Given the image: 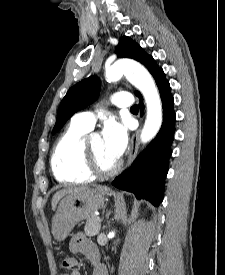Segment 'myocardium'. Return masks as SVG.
<instances>
[{
    "label": "myocardium",
    "instance_id": "myocardium-1",
    "mask_svg": "<svg viewBox=\"0 0 225 275\" xmlns=\"http://www.w3.org/2000/svg\"><path fill=\"white\" fill-rule=\"evenodd\" d=\"M83 152V165L85 170L93 177H109L117 173L121 167V163L117 162L109 169H103L97 162L94 153L89 147V142L84 140L82 146Z\"/></svg>",
    "mask_w": 225,
    "mask_h": 275
}]
</instances>
